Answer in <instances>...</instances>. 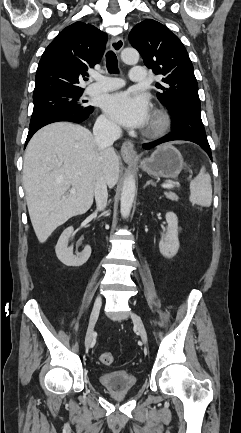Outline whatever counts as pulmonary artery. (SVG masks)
Masks as SVG:
<instances>
[{"label": "pulmonary artery", "instance_id": "obj_1", "mask_svg": "<svg viewBox=\"0 0 241 433\" xmlns=\"http://www.w3.org/2000/svg\"><path fill=\"white\" fill-rule=\"evenodd\" d=\"M129 79L132 83L141 84L147 80V72L143 66H133L130 72ZM123 85L119 78L102 77L97 78V81L86 89L89 95L98 94L110 90L117 89Z\"/></svg>", "mask_w": 241, "mask_h": 433}]
</instances>
